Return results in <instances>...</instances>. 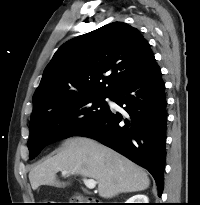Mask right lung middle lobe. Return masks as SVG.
<instances>
[{
  "mask_svg": "<svg viewBox=\"0 0 200 205\" xmlns=\"http://www.w3.org/2000/svg\"><path fill=\"white\" fill-rule=\"evenodd\" d=\"M89 95L54 103L30 121L29 157L35 158L47 145L75 136L102 118L109 107L105 98Z\"/></svg>",
  "mask_w": 200,
  "mask_h": 205,
  "instance_id": "dd1d6c3e",
  "label": "right lung middle lobe"
}]
</instances>
